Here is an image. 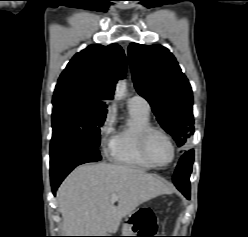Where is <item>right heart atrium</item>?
I'll use <instances>...</instances> for the list:
<instances>
[{
	"label": "right heart atrium",
	"mask_w": 248,
	"mask_h": 237,
	"mask_svg": "<svg viewBox=\"0 0 248 237\" xmlns=\"http://www.w3.org/2000/svg\"><path fill=\"white\" fill-rule=\"evenodd\" d=\"M98 137L103 154H111L115 137L113 128V114L111 109H108L98 128Z\"/></svg>",
	"instance_id": "d8ad5b80"
}]
</instances>
